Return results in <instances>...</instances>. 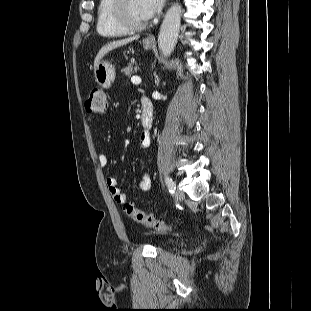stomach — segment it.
<instances>
[{"mask_svg": "<svg viewBox=\"0 0 311 311\" xmlns=\"http://www.w3.org/2000/svg\"><path fill=\"white\" fill-rule=\"evenodd\" d=\"M143 47L148 50L153 47V44L145 39ZM94 77L101 87L109 88L115 80V68L108 61H100L94 69Z\"/></svg>", "mask_w": 311, "mask_h": 311, "instance_id": "stomach-1", "label": "stomach"}]
</instances>
